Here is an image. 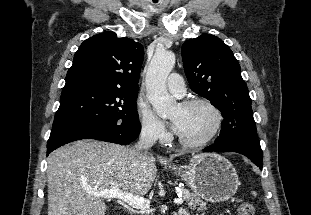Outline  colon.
Wrapping results in <instances>:
<instances>
[{
    "label": "colon",
    "instance_id": "colon-1",
    "mask_svg": "<svg viewBox=\"0 0 311 215\" xmlns=\"http://www.w3.org/2000/svg\"><path fill=\"white\" fill-rule=\"evenodd\" d=\"M237 215H255V209L251 202L240 201L236 206Z\"/></svg>",
    "mask_w": 311,
    "mask_h": 215
}]
</instances>
